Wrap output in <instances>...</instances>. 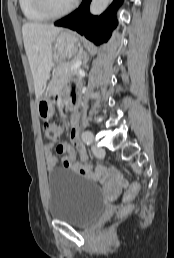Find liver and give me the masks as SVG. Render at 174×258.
<instances>
[{"label":"liver","mask_w":174,"mask_h":258,"mask_svg":"<svg viewBox=\"0 0 174 258\" xmlns=\"http://www.w3.org/2000/svg\"><path fill=\"white\" fill-rule=\"evenodd\" d=\"M61 31V28L48 24L25 23L22 26L24 47L37 98L50 77L52 43Z\"/></svg>","instance_id":"obj_1"}]
</instances>
